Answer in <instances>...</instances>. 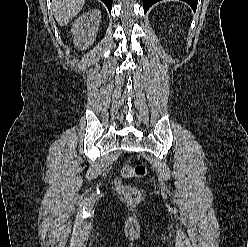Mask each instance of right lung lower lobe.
Wrapping results in <instances>:
<instances>
[{
	"label": "right lung lower lobe",
	"mask_w": 248,
	"mask_h": 247,
	"mask_svg": "<svg viewBox=\"0 0 248 247\" xmlns=\"http://www.w3.org/2000/svg\"><path fill=\"white\" fill-rule=\"evenodd\" d=\"M108 8L109 12L111 13L112 9V0H101Z\"/></svg>",
	"instance_id": "obj_1"
}]
</instances>
